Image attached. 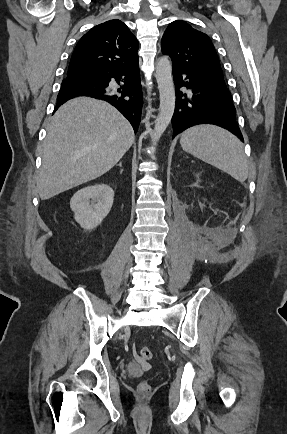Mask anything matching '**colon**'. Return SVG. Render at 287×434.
<instances>
[{
    "instance_id": "5ec220e1",
    "label": "colon",
    "mask_w": 287,
    "mask_h": 434,
    "mask_svg": "<svg viewBox=\"0 0 287 434\" xmlns=\"http://www.w3.org/2000/svg\"><path fill=\"white\" fill-rule=\"evenodd\" d=\"M137 357L139 360L149 361L152 358V351L149 347H142L137 351ZM138 393L142 397H145L150 393V385L148 382L143 381L139 384Z\"/></svg>"
}]
</instances>
